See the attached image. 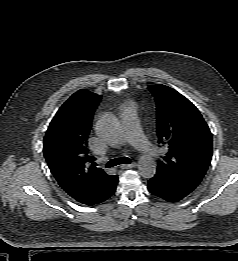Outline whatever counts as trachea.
Wrapping results in <instances>:
<instances>
[{"mask_svg":"<svg viewBox=\"0 0 238 261\" xmlns=\"http://www.w3.org/2000/svg\"><path fill=\"white\" fill-rule=\"evenodd\" d=\"M131 160L128 157L114 158L107 163V168L117 166L119 164H130Z\"/></svg>","mask_w":238,"mask_h":261,"instance_id":"3493384b","label":"trachea"}]
</instances>
